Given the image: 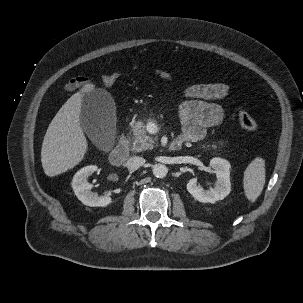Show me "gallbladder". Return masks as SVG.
<instances>
[{
    "label": "gallbladder",
    "mask_w": 303,
    "mask_h": 303,
    "mask_svg": "<svg viewBox=\"0 0 303 303\" xmlns=\"http://www.w3.org/2000/svg\"><path fill=\"white\" fill-rule=\"evenodd\" d=\"M115 109L114 100L106 90L95 89L83 94L80 124L100 148L110 145L114 137Z\"/></svg>",
    "instance_id": "obj_1"
}]
</instances>
